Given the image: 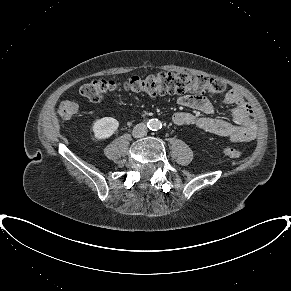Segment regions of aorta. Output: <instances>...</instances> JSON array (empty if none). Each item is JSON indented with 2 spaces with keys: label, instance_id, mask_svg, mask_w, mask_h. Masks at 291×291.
<instances>
[{
  "label": "aorta",
  "instance_id": "aorta-1",
  "mask_svg": "<svg viewBox=\"0 0 291 291\" xmlns=\"http://www.w3.org/2000/svg\"><path fill=\"white\" fill-rule=\"evenodd\" d=\"M148 127L149 129L156 131L162 128V123L158 119H150L148 121Z\"/></svg>",
  "mask_w": 291,
  "mask_h": 291
}]
</instances>
